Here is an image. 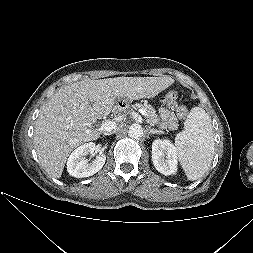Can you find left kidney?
<instances>
[{
    "label": "left kidney",
    "mask_w": 253,
    "mask_h": 253,
    "mask_svg": "<svg viewBox=\"0 0 253 253\" xmlns=\"http://www.w3.org/2000/svg\"><path fill=\"white\" fill-rule=\"evenodd\" d=\"M152 161L156 170L164 175L177 171V151L169 140L157 139L152 143Z\"/></svg>",
    "instance_id": "1"
}]
</instances>
